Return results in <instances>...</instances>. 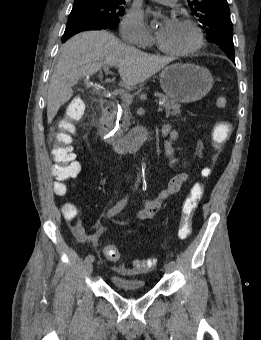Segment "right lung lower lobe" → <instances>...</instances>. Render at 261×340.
Segmentation results:
<instances>
[{
    "label": "right lung lower lobe",
    "instance_id": "1",
    "mask_svg": "<svg viewBox=\"0 0 261 340\" xmlns=\"http://www.w3.org/2000/svg\"><path fill=\"white\" fill-rule=\"evenodd\" d=\"M106 29L102 25L86 18H74L67 22L65 32L62 36V42L68 40L71 36L87 30H101Z\"/></svg>",
    "mask_w": 261,
    "mask_h": 340
}]
</instances>
